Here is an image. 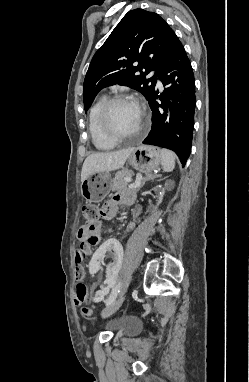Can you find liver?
Listing matches in <instances>:
<instances>
[{
	"mask_svg": "<svg viewBox=\"0 0 249 382\" xmlns=\"http://www.w3.org/2000/svg\"><path fill=\"white\" fill-rule=\"evenodd\" d=\"M132 150L128 148L114 152L92 153L83 163L81 181L93 173L108 172L123 167Z\"/></svg>",
	"mask_w": 249,
	"mask_h": 382,
	"instance_id": "1",
	"label": "liver"
}]
</instances>
